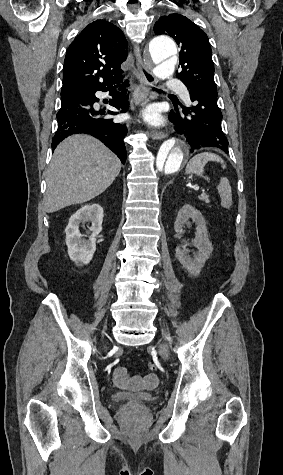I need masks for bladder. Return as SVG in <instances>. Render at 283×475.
Wrapping results in <instances>:
<instances>
[{"mask_svg":"<svg viewBox=\"0 0 283 475\" xmlns=\"http://www.w3.org/2000/svg\"><path fill=\"white\" fill-rule=\"evenodd\" d=\"M110 395L113 399L119 400L121 401V403L123 402L126 405H132V406H144V405H147V403L154 401L156 398V394L140 396L133 392L111 393Z\"/></svg>","mask_w":283,"mask_h":475,"instance_id":"31cf9c89","label":"bladder"}]
</instances>
